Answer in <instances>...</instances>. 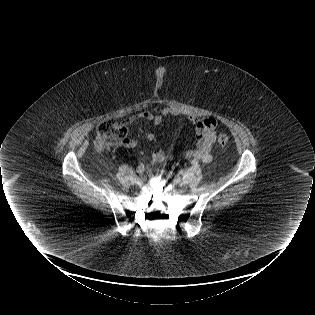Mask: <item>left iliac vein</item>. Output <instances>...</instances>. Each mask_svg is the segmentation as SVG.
<instances>
[{"instance_id": "left-iliac-vein-1", "label": "left iliac vein", "mask_w": 315, "mask_h": 315, "mask_svg": "<svg viewBox=\"0 0 315 315\" xmlns=\"http://www.w3.org/2000/svg\"><path fill=\"white\" fill-rule=\"evenodd\" d=\"M172 182H173L174 184L180 183V182H181V176H180V175H175V176L173 177V179H172Z\"/></svg>"}]
</instances>
